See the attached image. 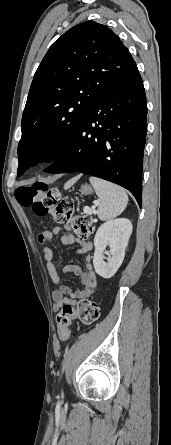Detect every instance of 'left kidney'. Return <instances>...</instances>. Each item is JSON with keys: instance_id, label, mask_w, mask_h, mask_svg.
Masks as SVG:
<instances>
[{"instance_id": "obj_1", "label": "left kidney", "mask_w": 171, "mask_h": 445, "mask_svg": "<svg viewBox=\"0 0 171 445\" xmlns=\"http://www.w3.org/2000/svg\"><path fill=\"white\" fill-rule=\"evenodd\" d=\"M132 223L126 218H117L103 223L94 238L95 252L93 265L96 273L111 278L121 266L128 240L132 233ZM110 247L108 262L104 261L106 247Z\"/></svg>"}]
</instances>
